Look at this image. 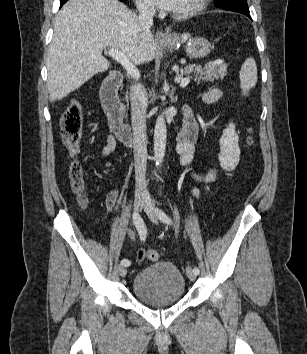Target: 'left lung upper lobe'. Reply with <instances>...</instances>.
<instances>
[{"instance_id": "obj_1", "label": "left lung upper lobe", "mask_w": 307, "mask_h": 354, "mask_svg": "<svg viewBox=\"0 0 307 354\" xmlns=\"http://www.w3.org/2000/svg\"><path fill=\"white\" fill-rule=\"evenodd\" d=\"M215 6L225 10H240L249 12L247 0H214Z\"/></svg>"}]
</instances>
